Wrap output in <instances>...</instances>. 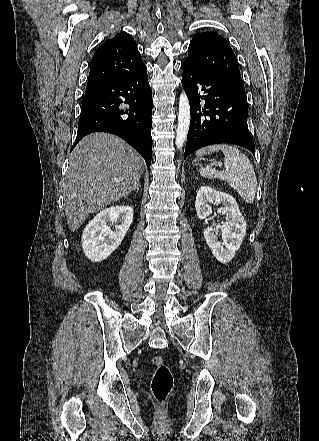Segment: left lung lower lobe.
<instances>
[{
	"mask_svg": "<svg viewBox=\"0 0 319 441\" xmlns=\"http://www.w3.org/2000/svg\"><path fill=\"white\" fill-rule=\"evenodd\" d=\"M182 70V85L191 107L184 159L202 147L219 143L235 144L255 154L247 125L246 94L225 78L188 61Z\"/></svg>",
	"mask_w": 319,
	"mask_h": 441,
	"instance_id": "0a47b994",
	"label": "left lung lower lobe"
}]
</instances>
